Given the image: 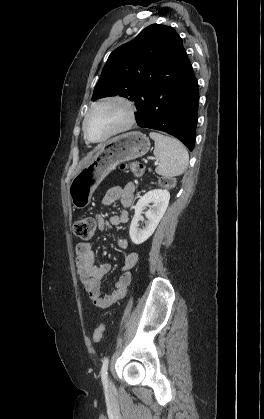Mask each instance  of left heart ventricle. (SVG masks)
I'll list each match as a JSON object with an SVG mask.
<instances>
[{
	"label": "left heart ventricle",
	"mask_w": 264,
	"mask_h": 419,
	"mask_svg": "<svg viewBox=\"0 0 264 419\" xmlns=\"http://www.w3.org/2000/svg\"><path fill=\"white\" fill-rule=\"evenodd\" d=\"M125 119V109L119 104H109L99 107L93 111L88 119V135L92 139H100L120 126Z\"/></svg>",
	"instance_id": "left-heart-ventricle-1"
}]
</instances>
